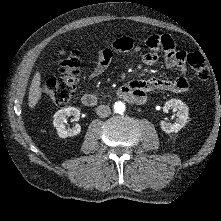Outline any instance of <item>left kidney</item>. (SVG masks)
Returning a JSON list of instances; mask_svg holds the SVG:
<instances>
[{
    "instance_id": "5707ae66",
    "label": "left kidney",
    "mask_w": 221,
    "mask_h": 221,
    "mask_svg": "<svg viewBox=\"0 0 221 221\" xmlns=\"http://www.w3.org/2000/svg\"><path fill=\"white\" fill-rule=\"evenodd\" d=\"M170 109L177 111V118L174 123L161 122V129L166 133H177L187 123L189 112L188 107L179 99H170L165 102L163 111L168 112Z\"/></svg>"
}]
</instances>
